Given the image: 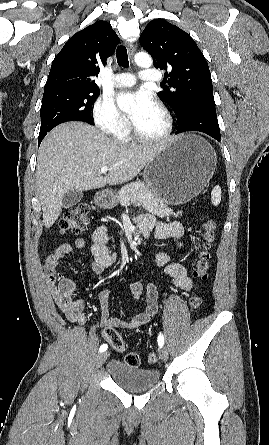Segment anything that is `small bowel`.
<instances>
[{
    "mask_svg": "<svg viewBox=\"0 0 269 445\" xmlns=\"http://www.w3.org/2000/svg\"><path fill=\"white\" fill-rule=\"evenodd\" d=\"M138 226L144 236L154 233L158 239L172 238L176 242L183 241L184 229L179 222H156L152 217L140 216ZM108 232L105 226L98 227L92 235V245L90 252L93 258L92 270L96 276L102 275L108 268L112 267L116 261V255L107 248ZM87 247L84 239L79 238L74 243H63L59 245L46 259V266L56 267L58 263L67 256L74 248L83 250ZM156 263L163 268L165 274L172 280L176 287L183 291L192 289V281L187 274L185 267L178 261H172L165 253L156 255ZM129 289L134 299V315L128 319L110 317L108 290H101L97 293V300L100 305V324L104 328L103 335L106 339V332L114 328L136 329L153 317L158 309V290L153 283L146 285L147 309L145 312L138 311V305L142 296L144 286L138 281H131ZM53 299L66 319L71 323L83 325L86 322L84 313L85 303L82 299H73L71 293L65 294L60 288L49 286Z\"/></svg>",
    "mask_w": 269,
    "mask_h": 445,
    "instance_id": "1",
    "label": "small bowel"
}]
</instances>
